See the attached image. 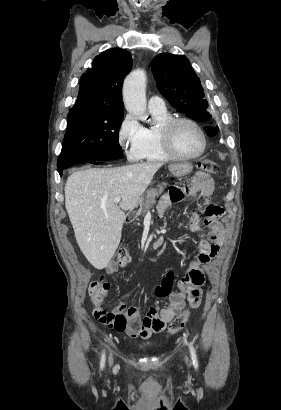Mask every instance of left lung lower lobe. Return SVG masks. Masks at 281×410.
<instances>
[{
  "instance_id": "1",
  "label": "left lung lower lobe",
  "mask_w": 281,
  "mask_h": 410,
  "mask_svg": "<svg viewBox=\"0 0 281 410\" xmlns=\"http://www.w3.org/2000/svg\"><path fill=\"white\" fill-rule=\"evenodd\" d=\"M211 131H212V129H207V130H206V132H207V134H208L209 136H210Z\"/></svg>"
}]
</instances>
